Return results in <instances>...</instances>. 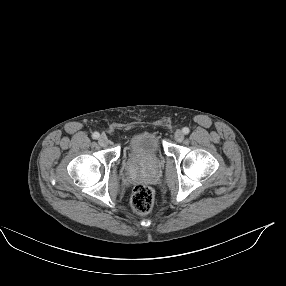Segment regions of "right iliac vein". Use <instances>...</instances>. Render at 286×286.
<instances>
[{"mask_svg": "<svg viewBox=\"0 0 286 286\" xmlns=\"http://www.w3.org/2000/svg\"><path fill=\"white\" fill-rule=\"evenodd\" d=\"M98 142L101 146H106L108 144V138L105 135H101Z\"/></svg>", "mask_w": 286, "mask_h": 286, "instance_id": "63e3f726", "label": "right iliac vein"}]
</instances>
